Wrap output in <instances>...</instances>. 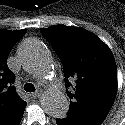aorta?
Wrapping results in <instances>:
<instances>
[{
  "mask_svg": "<svg viewBox=\"0 0 125 125\" xmlns=\"http://www.w3.org/2000/svg\"><path fill=\"white\" fill-rule=\"evenodd\" d=\"M22 66L40 81H49L52 75L50 52L43 42L29 38L18 52ZM40 103L46 114L54 118H64L69 109V102L64 93L56 87L48 88L41 96Z\"/></svg>",
  "mask_w": 125,
  "mask_h": 125,
  "instance_id": "1",
  "label": "aorta"
}]
</instances>
